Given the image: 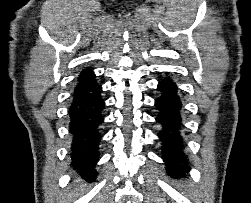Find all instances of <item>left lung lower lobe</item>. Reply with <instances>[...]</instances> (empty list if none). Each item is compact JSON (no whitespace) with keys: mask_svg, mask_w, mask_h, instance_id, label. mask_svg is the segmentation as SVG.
<instances>
[{"mask_svg":"<svg viewBox=\"0 0 251 203\" xmlns=\"http://www.w3.org/2000/svg\"><path fill=\"white\" fill-rule=\"evenodd\" d=\"M157 89L161 92L155 100L158 109L157 123L161 130L158 133L162 143V157L167 167L168 175L185 174L190 166L184 153L182 101L176 83L166 77L159 82Z\"/></svg>","mask_w":251,"mask_h":203,"instance_id":"left-lung-lower-lobe-1","label":"left lung lower lobe"}]
</instances>
